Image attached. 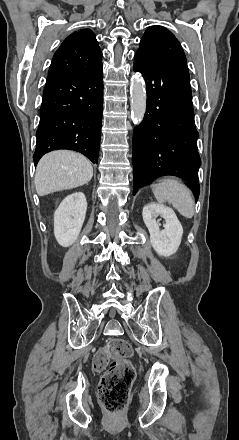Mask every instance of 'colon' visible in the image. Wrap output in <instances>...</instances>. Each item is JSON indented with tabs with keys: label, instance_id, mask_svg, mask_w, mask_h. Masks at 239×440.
<instances>
[{
	"label": "colon",
	"instance_id": "1",
	"mask_svg": "<svg viewBox=\"0 0 239 440\" xmlns=\"http://www.w3.org/2000/svg\"><path fill=\"white\" fill-rule=\"evenodd\" d=\"M132 349L122 339L110 341L94 358L95 370L103 375L99 384V398L111 413L121 412L128 403L136 371L130 361Z\"/></svg>",
	"mask_w": 239,
	"mask_h": 440
}]
</instances>
